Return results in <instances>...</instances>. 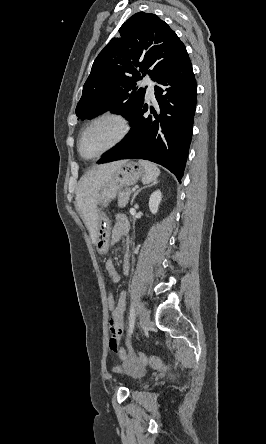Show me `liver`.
Returning a JSON list of instances; mask_svg holds the SVG:
<instances>
[{
  "mask_svg": "<svg viewBox=\"0 0 266 444\" xmlns=\"http://www.w3.org/2000/svg\"><path fill=\"white\" fill-rule=\"evenodd\" d=\"M124 162L122 160L98 166L82 176L78 183L76 203L94 244L97 241L98 192Z\"/></svg>",
  "mask_w": 266,
  "mask_h": 444,
  "instance_id": "obj_1",
  "label": "liver"
}]
</instances>
